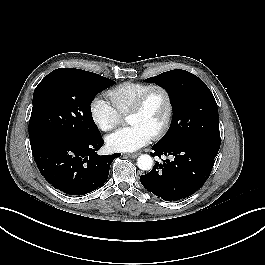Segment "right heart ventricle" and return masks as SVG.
Segmentation results:
<instances>
[{
	"mask_svg": "<svg viewBox=\"0 0 265 265\" xmlns=\"http://www.w3.org/2000/svg\"><path fill=\"white\" fill-rule=\"evenodd\" d=\"M144 82H124L107 92L112 105L121 115L128 114L139 97L150 87Z\"/></svg>",
	"mask_w": 265,
	"mask_h": 265,
	"instance_id": "e07e8e85",
	"label": "right heart ventricle"
}]
</instances>
